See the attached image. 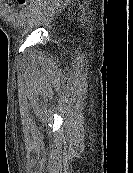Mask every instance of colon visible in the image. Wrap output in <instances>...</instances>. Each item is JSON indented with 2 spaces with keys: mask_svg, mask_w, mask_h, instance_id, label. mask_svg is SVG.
Wrapping results in <instances>:
<instances>
[{
  "mask_svg": "<svg viewBox=\"0 0 133 173\" xmlns=\"http://www.w3.org/2000/svg\"><path fill=\"white\" fill-rule=\"evenodd\" d=\"M17 2H18L19 4H24V3H26V0H17Z\"/></svg>",
  "mask_w": 133,
  "mask_h": 173,
  "instance_id": "1",
  "label": "colon"
}]
</instances>
